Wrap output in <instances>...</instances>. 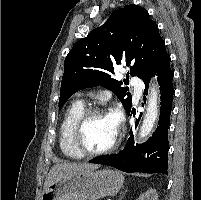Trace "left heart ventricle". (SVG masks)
Listing matches in <instances>:
<instances>
[{
	"instance_id": "left-heart-ventricle-1",
	"label": "left heart ventricle",
	"mask_w": 201,
	"mask_h": 200,
	"mask_svg": "<svg viewBox=\"0 0 201 200\" xmlns=\"http://www.w3.org/2000/svg\"><path fill=\"white\" fill-rule=\"evenodd\" d=\"M117 135V130L109 115L91 117L82 133L83 145L89 150H100L110 145Z\"/></svg>"
}]
</instances>
